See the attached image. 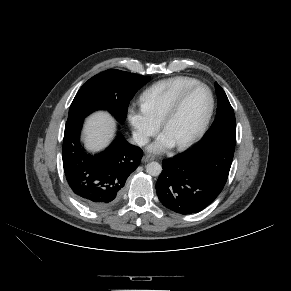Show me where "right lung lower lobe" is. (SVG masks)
Segmentation results:
<instances>
[{"mask_svg":"<svg viewBox=\"0 0 291 291\" xmlns=\"http://www.w3.org/2000/svg\"><path fill=\"white\" fill-rule=\"evenodd\" d=\"M84 118L67 120L63 139V167L75 197L91 210L112 206L128 176L139 166L143 152L118 134L103 152L90 155L80 143Z\"/></svg>","mask_w":291,"mask_h":291,"instance_id":"98d812e1","label":"right lung lower lobe"}]
</instances>
